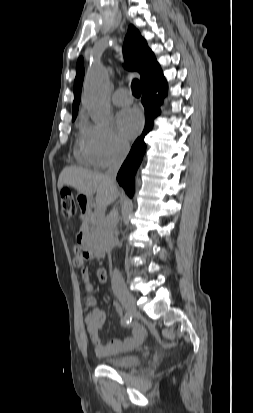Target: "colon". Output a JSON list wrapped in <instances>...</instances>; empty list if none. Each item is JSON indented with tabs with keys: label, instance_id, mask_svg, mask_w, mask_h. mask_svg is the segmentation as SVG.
<instances>
[{
	"label": "colon",
	"instance_id": "obj_1",
	"mask_svg": "<svg viewBox=\"0 0 253 413\" xmlns=\"http://www.w3.org/2000/svg\"><path fill=\"white\" fill-rule=\"evenodd\" d=\"M61 213L65 218H70L76 213V204L69 191L61 192Z\"/></svg>",
	"mask_w": 253,
	"mask_h": 413
}]
</instances>
